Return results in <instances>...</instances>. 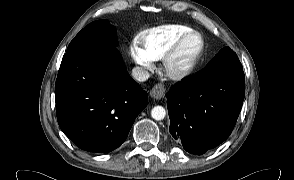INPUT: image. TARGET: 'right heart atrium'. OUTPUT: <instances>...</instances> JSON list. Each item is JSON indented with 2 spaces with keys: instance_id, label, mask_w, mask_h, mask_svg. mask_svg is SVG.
<instances>
[{
  "instance_id": "obj_1",
  "label": "right heart atrium",
  "mask_w": 294,
  "mask_h": 180,
  "mask_svg": "<svg viewBox=\"0 0 294 180\" xmlns=\"http://www.w3.org/2000/svg\"><path fill=\"white\" fill-rule=\"evenodd\" d=\"M129 54L136 65L141 69L149 70L152 67L153 59L137 41H132L130 43Z\"/></svg>"
}]
</instances>
